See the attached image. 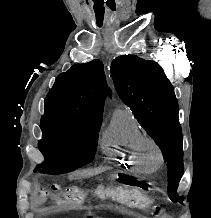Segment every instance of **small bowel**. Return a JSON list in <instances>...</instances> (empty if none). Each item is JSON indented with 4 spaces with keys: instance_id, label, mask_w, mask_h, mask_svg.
Listing matches in <instances>:
<instances>
[{
    "instance_id": "obj_1",
    "label": "small bowel",
    "mask_w": 211,
    "mask_h": 218,
    "mask_svg": "<svg viewBox=\"0 0 211 218\" xmlns=\"http://www.w3.org/2000/svg\"><path fill=\"white\" fill-rule=\"evenodd\" d=\"M47 198L48 194L45 190H39L33 193L34 204L37 207H41L46 202Z\"/></svg>"
}]
</instances>
